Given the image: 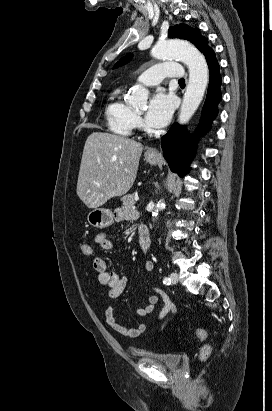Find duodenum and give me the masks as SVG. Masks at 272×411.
<instances>
[{"label": "duodenum", "instance_id": "410a0bca", "mask_svg": "<svg viewBox=\"0 0 272 411\" xmlns=\"http://www.w3.org/2000/svg\"><path fill=\"white\" fill-rule=\"evenodd\" d=\"M139 247L142 252L148 253L151 249V236L145 225L138 227Z\"/></svg>", "mask_w": 272, "mask_h": 411}]
</instances>
